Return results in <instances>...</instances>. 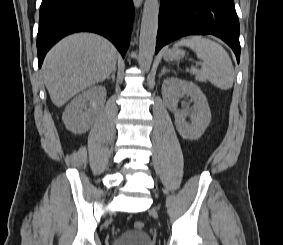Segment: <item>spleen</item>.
<instances>
[{"label": "spleen", "mask_w": 283, "mask_h": 245, "mask_svg": "<svg viewBox=\"0 0 283 245\" xmlns=\"http://www.w3.org/2000/svg\"><path fill=\"white\" fill-rule=\"evenodd\" d=\"M175 46L190 47L202 59L201 69L192 67L190 73L199 81L208 80L214 86L227 90L233 86L235 73L232 61L226 50L217 42L193 36L178 41Z\"/></svg>", "instance_id": "spleen-1"}]
</instances>
